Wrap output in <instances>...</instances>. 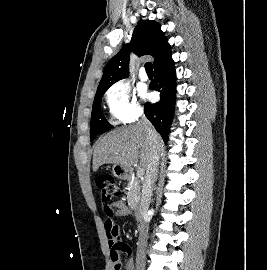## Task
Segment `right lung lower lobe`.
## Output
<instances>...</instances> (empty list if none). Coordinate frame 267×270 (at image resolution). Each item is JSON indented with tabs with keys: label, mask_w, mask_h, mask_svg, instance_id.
Masks as SVG:
<instances>
[{
	"label": "right lung lower lobe",
	"mask_w": 267,
	"mask_h": 270,
	"mask_svg": "<svg viewBox=\"0 0 267 270\" xmlns=\"http://www.w3.org/2000/svg\"><path fill=\"white\" fill-rule=\"evenodd\" d=\"M154 70V80L150 83V88L160 92V101L155 104L146 103L144 112L166 143L176 92V74L170 48L156 62Z\"/></svg>",
	"instance_id": "right-lung-lower-lobe-1"
}]
</instances>
